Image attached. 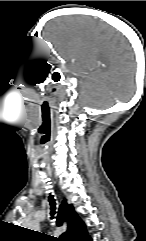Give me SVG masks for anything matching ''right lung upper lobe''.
I'll return each mask as SVG.
<instances>
[{
  "label": "right lung upper lobe",
  "mask_w": 146,
  "mask_h": 241,
  "mask_svg": "<svg viewBox=\"0 0 146 241\" xmlns=\"http://www.w3.org/2000/svg\"><path fill=\"white\" fill-rule=\"evenodd\" d=\"M67 223V231L60 236L59 241H86L89 237L84 222L78 217L71 204L62 201L58 211L57 225Z\"/></svg>",
  "instance_id": "right-lung-upper-lobe-1"
}]
</instances>
